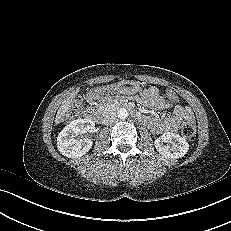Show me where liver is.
<instances>
[{
	"mask_svg": "<svg viewBox=\"0 0 231 231\" xmlns=\"http://www.w3.org/2000/svg\"><path fill=\"white\" fill-rule=\"evenodd\" d=\"M76 92L71 93L63 102L62 105L59 107L56 117H55V123L59 124L60 122H62L63 117L65 116V114L68 112V110L71 108V105L73 103V99L76 96Z\"/></svg>",
	"mask_w": 231,
	"mask_h": 231,
	"instance_id": "liver-1",
	"label": "liver"
}]
</instances>
